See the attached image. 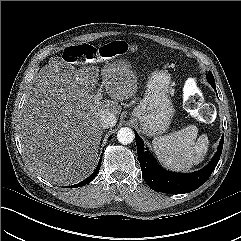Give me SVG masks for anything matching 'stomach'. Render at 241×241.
Instances as JSON below:
<instances>
[{
    "mask_svg": "<svg viewBox=\"0 0 241 241\" xmlns=\"http://www.w3.org/2000/svg\"><path fill=\"white\" fill-rule=\"evenodd\" d=\"M172 82L168 73L157 71L149 77L143 99L131 113L142 133L155 136L170 126L175 109L171 100Z\"/></svg>",
    "mask_w": 241,
    "mask_h": 241,
    "instance_id": "obj_1",
    "label": "stomach"
}]
</instances>
